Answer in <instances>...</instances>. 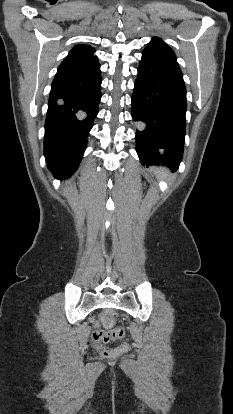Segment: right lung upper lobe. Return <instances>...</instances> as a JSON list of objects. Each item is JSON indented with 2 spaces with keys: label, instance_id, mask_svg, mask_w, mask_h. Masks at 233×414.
<instances>
[{
  "label": "right lung upper lobe",
  "instance_id": "1",
  "mask_svg": "<svg viewBox=\"0 0 233 414\" xmlns=\"http://www.w3.org/2000/svg\"><path fill=\"white\" fill-rule=\"evenodd\" d=\"M95 50L87 45L75 46L60 64L57 74H79L89 72L99 66L93 53Z\"/></svg>",
  "mask_w": 233,
  "mask_h": 414
}]
</instances>
